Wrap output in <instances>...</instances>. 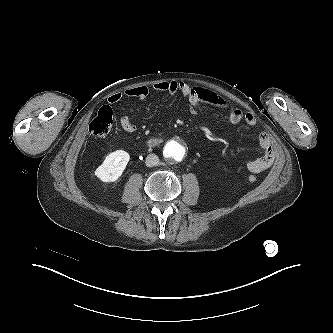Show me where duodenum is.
Segmentation results:
<instances>
[{
	"label": "duodenum",
	"instance_id": "obj_1",
	"mask_svg": "<svg viewBox=\"0 0 333 333\" xmlns=\"http://www.w3.org/2000/svg\"><path fill=\"white\" fill-rule=\"evenodd\" d=\"M159 138H150L149 140H148V145L149 146H155L156 144H158L159 143Z\"/></svg>",
	"mask_w": 333,
	"mask_h": 333
}]
</instances>
